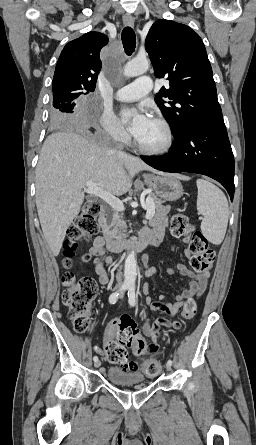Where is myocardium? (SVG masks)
<instances>
[{
  "label": "myocardium",
  "mask_w": 256,
  "mask_h": 445,
  "mask_svg": "<svg viewBox=\"0 0 256 445\" xmlns=\"http://www.w3.org/2000/svg\"><path fill=\"white\" fill-rule=\"evenodd\" d=\"M155 122H157L164 130L165 133V141L164 143L156 148H148L141 145L136 138L133 140V145L142 153L147 155H162L170 151L174 143V133L170 123L161 116H154L152 118Z\"/></svg>",
  "instance_id": "myocardium-1"
}]
</instances>
